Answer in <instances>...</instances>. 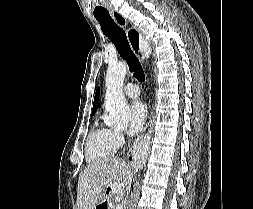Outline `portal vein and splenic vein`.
<instances>
[{"label": "portal vein and splenic vein", "mask_w": 253, "mask_h": 209, "mask_svg": "<svg viewBox=\"0 0 253 209\" xmlns=\"http://www.w3.org/2000/svg\"><path fill=\"white\" fill-rule=\"evenodd\" d=\"M117 190L119 191L120 188L118 187ZM122 207H123L122 205H118L116 209H122Z\"/></svg>", "instance_id": "portal-vein-and-splenic-vein-1"}]
</instances>
